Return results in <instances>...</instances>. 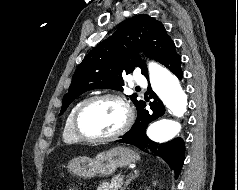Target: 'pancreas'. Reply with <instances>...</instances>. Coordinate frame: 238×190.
Masks as SVG:
<instances>
[{
    "label": "pancreas",
    "instance_id": "cf45deb5",
    "mask_svg": "<svg viewBox=\"0 0 238 190\" xmlns=\"http://www.w3.org/2000/svg\"><path fill=\"white\" fill-rule=\"evenodd\" d=\"M121 185L122 181H119V178H114L110 184L103 183L97 188V190H119Z\"/></svg>",
    "mask_w": 238,
    "mask_h": 190
}]
</instances>
